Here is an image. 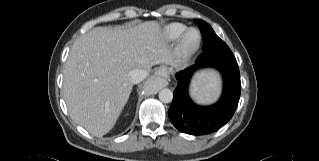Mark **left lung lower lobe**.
Listing matches in <instances>:
<instances>
[{
    "label": "left lung lower lobe",
    "mask_w": 319,
    "mask_h": 161,
    "mask_svg": "<svg viewBox=\"0 0 319 161\" xmlns=\"http://www.w3.org/2000/svg\"><path fill=\"white\" fill-rule=\"evenodd\" d=\"M214 67L223 77V94L211 106H198L188 95V85L194 71L198 68ZM177 87L168 111L172 124L181 132L191 135H204L217 131L233 116L241 93L238 64L232 61L198 63L175 75Z\"/></svg>",
    "instance_id": "0a47b994"
}]
</instances>
